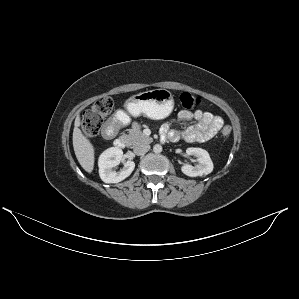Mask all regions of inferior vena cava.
<instances>
[{
    "mask_svg": "<svg viewBox=\"0 0 299 299\" xmlns=\"http://www.w3.org/2000/svg\"><path fill=\"white\" fill-rule=\"evenodd\" d=\"M149 149H150L149 144L142 143L135 146L133 151L136 155H144L146 152L149 151Z\"/></svg>",
    "mask_w": 299,
    "mask_h": 299,
    "instance_id": "obj_1",
    "label": "inferior vena cava"
}]
</instances>
